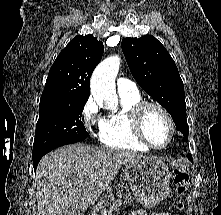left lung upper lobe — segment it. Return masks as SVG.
Here are the masks:
<instances>
[{"mask_svg": "<svg viewBox=\"0 0 221 215\" xmlns=\"http://www.w3.org/2000/svg\"><path fill=\"white\" fill-rule=\"evenodd\" d=\"M122 51L137 83L171 115L187 141L184 85L172 57L151 35L122 40Z\"/></svg>", "mask_w": 221, "mask_h": 215, "instance_id": "1", "label": "left lung upper lobe"}]
</instances>
